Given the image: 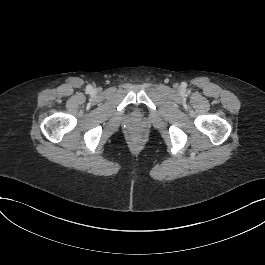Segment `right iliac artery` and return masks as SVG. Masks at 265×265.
Segmentation results:
<instances>
[{"label": "right iliac artery", "instance_id": "82829eb1", "mask_svg": "<svg viewBox=\"0 0 265 265\" xmlns=\"http://www.w3.org/2000/svg\"><path fill=\"white\" fill-rule=\"evenodd\" d=\"M87 90H88V91L92 90V86H91V85H88V86H87Z\"/></svg>", "mask_w": 265, "mask_h": 265}]
</instances>
